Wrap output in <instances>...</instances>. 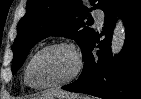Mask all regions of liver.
<instances>
[{
	"mask_svg": "<svg viewBox=\"0 0 141 99\" xmlns=\"http://www.w3.org/2000/svg\"><path fill=\"white\" fill-rule=\"evenodd\" d=\"M43 95H47L52 99H54V98H56V99H77L76 94H72V93L65 92V91L53 90V91H48L47 93H44Z\"/></svg>",
	"mask_w": 141,
	"mask_h": 99,
	"instance_id": "6515ba94",
	"label": "liver"
}]
</instances>
